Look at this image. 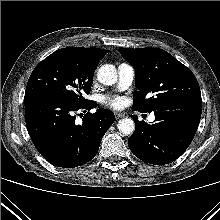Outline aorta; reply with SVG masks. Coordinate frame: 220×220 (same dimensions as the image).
Listing matches in <instances>:
<instances>
[{
    "mask_svg": "<svg viewBox=\"0 0 220 220\" xmlns=\"http://www.w3.org/2000/svg\"><path fill=\"white\" fill-rule=\"evenodd\" d=\"M117 70L111 64H105L98 69L97 78L103 85H112L117 81ZM118 130L124 135H131L135 130V123L131 118L119 120L117 124Z\"/></svg>",
    "mask_w": 220,
    "mask_h": 220,
    "instance_id": "obj_1",
    "label": "aorta"
}]
</instances>
